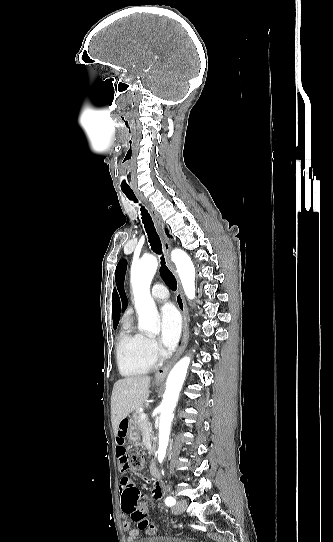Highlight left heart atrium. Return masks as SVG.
<instances>
[{"mask_svg": "<svg viewBox=\"0 0 333 542\" xmlns=\"http://www.w3.org/2000/svg\"><path fill=\"white\" fill-rule=\"evenodd\" d=\"M181 330L180 316L171 304L165 305L161 309V333L160 343L165 351H172L179 339Z\"/></svg>", "mask_w": 333, "mask_h": 542, "instance_id": "39dd6f15", "label": "left heart atrium"}]
</instances>
